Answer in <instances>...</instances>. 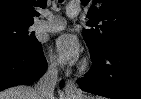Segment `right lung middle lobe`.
Instances as JSON below:
<instances>
[{"label": "right lung middle lobe", "mask_w": 141, "mask_h": 99, "mask_svg": "<svg viewBox=\"0 0 141 99\" xmlns=\"http://www.w3.org/2000/svg\"><path fill=\"white\" fill-rule=\"evenodd\" d=\"M33 22H0V48H31L41 45L29 31Z\"/></svg>", "instance_id": "right-lung-middle-lobe-1"}]
</instances>
